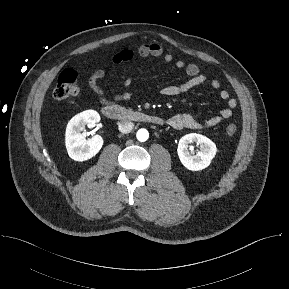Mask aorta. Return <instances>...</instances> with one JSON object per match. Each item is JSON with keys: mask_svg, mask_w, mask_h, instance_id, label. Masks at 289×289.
<instances>
[{"mask_svg": "<svg viewBox=\"0 0 289 289\" xmlns=\"http://www.w3.org/2000/svg\"><path fill=\"white\" fill-rule=\"evenodd\" d=\"M136 136L140 142H145L149 137V133L146 129H139Z\"/></svg>", "mask_w": 289, "mask_h": 289, "instance_id": "1", "label": "aorta"}]
</instances>
